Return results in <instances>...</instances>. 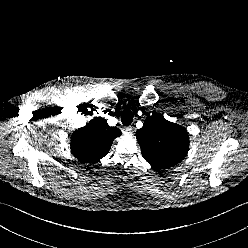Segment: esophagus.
<instances>
[{"mask_svg":"<svg viewBox=\"0 0 248 248\" xmlns=\"http://www.w3.org/2000/svg\"><path fill=\"white\" fill-rule=\"evenodd\" d=\"M124 131H125V133H126L127 135H132L133 132H134V127L128 126V127L124 128Z\"/></svg>","mask_w":248,"mask_h":248,"instance_id":"esophagus-1","label":"esophagus"}]
</instances>
